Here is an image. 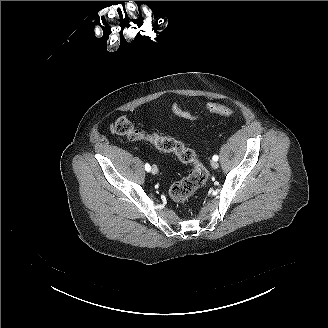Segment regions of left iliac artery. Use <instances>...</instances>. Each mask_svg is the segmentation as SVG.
Masks as SVG:
<instances>
[{
    "label": "left iliac artery",
    "mask_w": 328,
    "mask_h": 328,
    "mask_svg": "<svg viewBox=\"0 0 328 328\" xmlns=\"http://www.w3.org/2000/svg\"><path fill=\"white\" fill-rule=\"evenodd\" d=\"M212 159H213L214 161H217V160H218V156H217V155H214Z\"/></svg>",
    "instance_id": "1"
}]
</instances>
